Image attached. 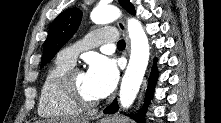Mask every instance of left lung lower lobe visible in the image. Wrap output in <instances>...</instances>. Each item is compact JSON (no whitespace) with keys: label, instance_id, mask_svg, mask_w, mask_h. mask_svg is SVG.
Listing matches in <instances>:
<instances>
[{"label":"left lung lower lobe","instance_id":"0a47b994","mask_svg":"<svg viewBox=\"0 0 221 123\" xmlns=\"http://www.w3.org/2000/svg\"><path fill=\"white\" fill-rule=\"evenodd\" d=\"M158 77V72H157V68H156V62L154 63V66L152 68L151 74H150V78H149V84H148V89L146 92V97H145V105L143 107V109L137 114L135 115V119L137 121H143V117H144V113H145V109L146 106L149 104V101L152 97L153 94V90H154V86L156 84V80ZM118 104H117V99H115L105 110L104 113L106 114H111V113H115L118 111Z\"/></svg>","mask_w":221,"mask_h":123}]
</instances>
